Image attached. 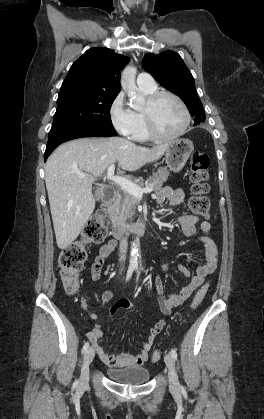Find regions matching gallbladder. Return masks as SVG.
<instances>
[{"label":"gallbladder","mask_w":264,"mask_h":419,"mask_svg":"<svg viewBox=\"0 0 264 419\" xmlns=\"http://www.w3.org/2000/svg\"><path fill=\"white\" fill-rule=\"evenodd\" d=\"M94 196L97 200L100 199V193L98 191H95Z\"/></svg>","instance_id":"bac80fb5"}]
</instances>
